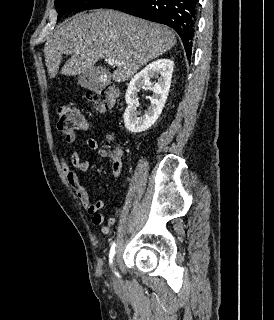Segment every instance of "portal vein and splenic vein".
<instances>
[{
	"mask_svg": "<svg viewBox=\"0 0 274 320\" xmlns=\"http://www.w3.org/2000/svg\"><path fill=\"white\" fill-rule=\"evenodd\" d=\"M106 62L109 66H122L123 64V62H118L115 58H107Z\"/></svg>",
	"mask_w": 274,
	"mask_h": 320,
	"instance_id": "18ae733b",
	"label": "portal vein and splenic vein"
}]
</instances>
